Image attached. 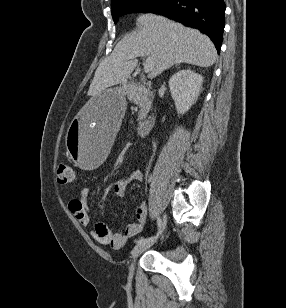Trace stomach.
<instances>
[{
  "label": "stomach",
  "mask_w": 286,
  "mask_h": 308,
  "mask_svg": "<svg viewBox=\"0 0 286 308\" xmlns=\"http://www.w3.org/2000/svg\"><path fill=\"white\" fill-rule=\"evenodd\" d=\"M127 91V85H106L94 97H87L84 109L67 122V154L80 171H95L108 161L127 107Z\"/></svg>",
  "instance_id": "obj_1"
}]
</instances>
